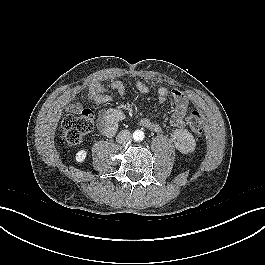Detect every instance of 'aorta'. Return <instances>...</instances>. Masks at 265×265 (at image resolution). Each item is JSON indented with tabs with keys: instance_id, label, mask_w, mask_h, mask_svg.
Masks as SVG:
<instances>
[{
	"instance_id": "762f6f07",
	"label": "aorta",
	"mask_w": 265,
	"mask_h": 265,
	"mask_svg": "<svg viewBox=\"0 0 265 265\" xmlns=\"http://www.w3.org/2000/svg\"><path fill=\"white\" fill-rule=\"evenodd\" d=\"M145 135H144V132L141 131V130H136L134 133H133V139L137 142H140L144 139Z\"/></svg>"
}]
</instances>
